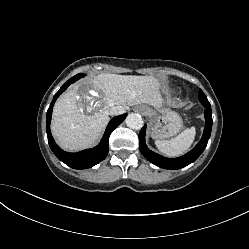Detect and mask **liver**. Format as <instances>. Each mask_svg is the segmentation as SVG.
<instances>
[{
	"instance_id": "1",
	"label": "liver",
	"mask_w": 249,
	"mask_h": 249,
	"mask_svg": "<svg viewBox=\"0 0 249 249\" xmlns=\"http://www.w3.org/2000/svg\"><path fill=\"white\" fill-rule=\"evenodd\" d=\"M90 84L92 95L84 106L77 105L82 100L79 89L82 84ZM98 90L102 95L98 94ZM91 91H94L93 95ZM84 96V93H82ZM163 99L158 81L151 76L100 74L87 82L75 85L55 103L51 131L57 143L67 151H77L93 145L109 121V110L114 106L150 104L157 109Z\"/></svg>"
}]
</instances>
